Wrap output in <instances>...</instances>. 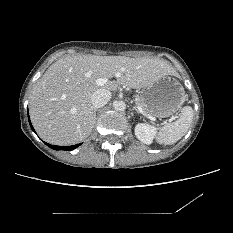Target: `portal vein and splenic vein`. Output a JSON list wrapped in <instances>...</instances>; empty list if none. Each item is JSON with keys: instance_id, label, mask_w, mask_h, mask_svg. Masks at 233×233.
<instances>
[{"instance_id": "1", "label": "portal vein and splenic vein", "mask_w": 233, "mask_h": 233, "mask_svg": "<svg viewBox=\"0 0 233 233\" xmlns=\"http://www.w3.org/2000/svg\"><path fill=\"white\" fill-rule=\"evenodd\" d=\"M107 81H108L107 78H98V79L96 80V84H97L98 86H102V85H104ZM137 108H138V111H139L143 116H145L146 118H148V119H150V120H152V121L156 120L155 117H152L151 115L146 114L140 106H138Z\"/></svg>"}]
</instances>
